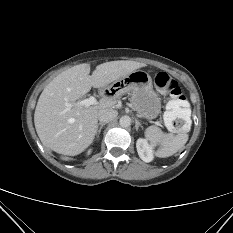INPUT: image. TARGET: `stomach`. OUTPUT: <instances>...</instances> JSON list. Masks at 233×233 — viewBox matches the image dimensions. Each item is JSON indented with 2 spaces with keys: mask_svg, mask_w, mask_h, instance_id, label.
Instances as JSON below:
<instances>
[{
  "mask_svg": "<svg viewBox=\"0 0 233 233\" xmlns=\"http://www.w3.org/2000/svg\"><path fill=\"white\" fill-rule=\"evenodd\" d=\"M116 95L131 93V102L137 113L147 119H155L161 111V100L153 89L151 76L143 70H134L116 80L107 88Z\"/></svg>",
  "mask_w": 233,
  "mask_h": 233,
  "instance_id": "0dacf381",
  "label": "stomach"
}]
</instances>
